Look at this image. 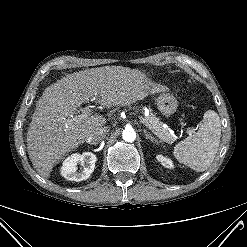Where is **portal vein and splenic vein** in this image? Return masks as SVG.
<instances>
[{
    "label": "portal vein and splenic vein",
    "instance_id": "obj_1",
    "mask_svg": "<svg viewBox=\"0 0 247 247\" xmlns=\"http://www.w3.org/2000/svg\"><path fill=\"white\" fill-rule=\"evenodd\" d=\"M96 94H94L95 96ZM91 114V109L84 108L81 112V114L73 117V120L76 122H81L82 120L86 119ZM139 119L142 123L146 125L145 119L142 116H139ZM147 126V125H146Z\"/></svg>",
    "mask_w": 247,
    "mask_h": 247
}]
</instances>
